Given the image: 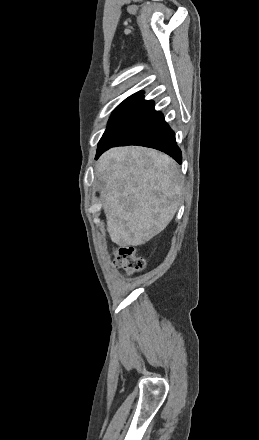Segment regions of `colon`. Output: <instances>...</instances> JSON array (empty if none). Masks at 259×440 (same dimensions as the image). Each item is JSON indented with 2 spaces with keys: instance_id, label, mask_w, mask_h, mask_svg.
Returning a JSON list of instances; mask_svg holds the SVG:
<instances>
[{
  "instance_id": "1",
  "label": "colon",
  "mask_w": 259,
  "mask_h": 440,
  "mask_svg": "<svg viewBox=\"0 0 259 440\" xmlns=\"http://www.w3.org/2000/svg\"><path fill=\"white\" fill-rule=\"evenodd\" d=\"M113 259L117 266L122 267L129 275L144 269L145 260L138 256L133 246L124 245L116 248L113 252Z\"/></svg>"
}]
</instances>
